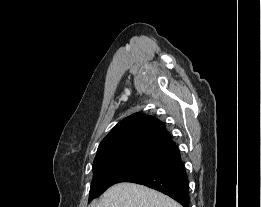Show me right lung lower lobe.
Segmentation results:
<instances>
[{"label": "right lung lower lobe", "instance_id": "1", "mask_svg": "<svg viewBox=\"0 0 261 207\" xmlns=\"http://www.w3.org/2000/svg\"><path fill=\"white\" fill-rule=\"evenodd\" d=\"M124 182L148 186L170 196L183 207H189L188 177L180 153L131 176Z\"/></svg>", "mask_w": 261, "mask_h": 207}]
</instances>
